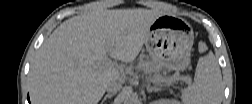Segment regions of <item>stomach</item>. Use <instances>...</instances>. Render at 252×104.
Masks as SVG:
<instances>
[{"mask_svg": "<svg viewBox=\"0 0 252 104\" xmlns=\"http://www.w3.org/2000/svg\"><path fill=\"white\" fill-rule=\"evenodd\" d=\"M193 42L194 32L188 22L161 15L150 26L144 43L153 62L170 71H183L190 63Z\"/></svg>", "mask_w": 252, "mask_h": 104, "instance_id": "stomach-1", "label": "stomach"}]
</instances>
